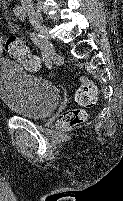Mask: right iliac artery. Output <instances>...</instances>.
<instances>
[{"label": "right iliac artery", "instance_id": "obj_1", "mask_svg": "<svg viewBox=\"0 0 123 201\" xmlns=\"http://www.w3.org/2000/svg\"><path fill=\"white\" fill-rule=\"evenodd\" d=\"M14 14L16 17H18L21 21L25 20L26 13L24 8L21 5H16L14 7ZM30 38L36 44L40 50L42 51L43 59L45 60V63L48 68L52 67V57H51V52L48 49V47L45 45L43 42V36L40 34H37L35 32L30 33Z\"/></svg>", "mask_w": 123, "mask_h": 201}]
</instances>
